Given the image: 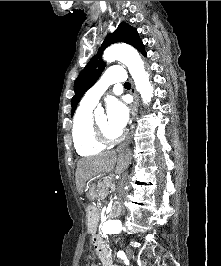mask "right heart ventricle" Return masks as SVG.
<instances>
[{
  "label": "right heart ventricle",
  "mask_w": 221,
  "mask_h": 266,
  "mask_svg": "<svg viewBox=\"0 0 221 266\" xmlns=\"http://www.w3.org/2000/svg\"><path fill=\"white\" fill-rule=\"evenodd\" d=\"M92 109L80 105L72 126V139L77 153L81 156H94L102 152L105 145L97 141L92 126Z\"/></svg>",
  "instance_id": "obj_1"
}]
</instances>
